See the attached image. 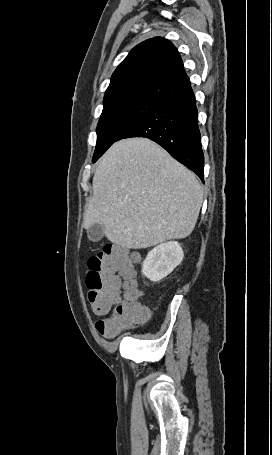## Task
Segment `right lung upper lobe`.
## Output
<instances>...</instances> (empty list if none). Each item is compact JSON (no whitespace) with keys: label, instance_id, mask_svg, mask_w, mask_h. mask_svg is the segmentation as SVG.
Segmentation results:
<instances>
[{"label":"right lung upper lobe","instance_id":"cb5924a9","mask_svg":"<svg viewBox=\"0 0 272 455\" xmlns=\"http://www.w3.org/2000/svg\"><path fill=\"white\" fill-rule=\"evenodd\" d=\"M191 88L174 45L161 37L135 46L112 74L104 105L145 97L166 102Z\"/></svg>","mask_w":272,"mask_h":455}]
</instances>
